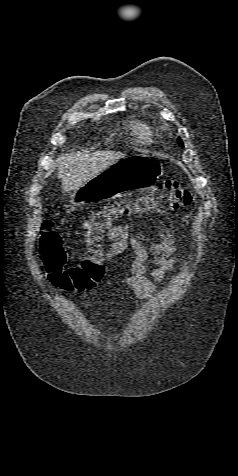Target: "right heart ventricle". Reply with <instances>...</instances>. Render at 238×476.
Segmentation results:
<instances>
[{
	"instance_id": "obj_1",
	"label": "right heart ventricle",
	"mask_w": 238,
	"mask_h": 476,
	"mask_svg": "<svg viewBox=\"0 0 238 476\" xmlns=\"http://www.w3.org/2000/svg\"><path fill=\"white\" fill-rule=\"evenodd\" d=\"M129 126L139 143H151L153 138V130L147 122L140 119H132L129 123Z\"/></svg>"
}]
</instances>
